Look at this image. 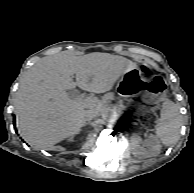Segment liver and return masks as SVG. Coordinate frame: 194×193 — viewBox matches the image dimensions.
Returning a JSON list of instances; mask_svg holds the SVG:
<instances>
[{"label": "liver", "instance_id": "liver-1", "mask_svg": "<svg viewBox=\"0 0 194 193\" xmlns=\"http://www.w3.org/2000/svg\"><path fill=\"white\" fill-rule=\"evenodd\" d=\"M136 68V63L123 56L101 52L82 56L60 52L41 58L23 75L15 95L19 134L34 148L55 150V144L80 132L86 109L99 110L110 98L72 99L67 91L78 86L105 93L124 73Z\"/></svg>", "mask_w": 194, "mask_h": 193}]
</instances>
